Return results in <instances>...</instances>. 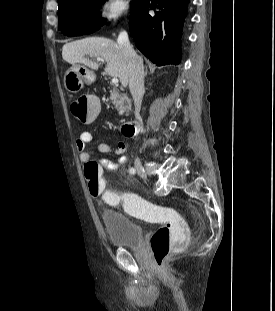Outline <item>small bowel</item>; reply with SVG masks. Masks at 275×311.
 Segmentation results:
<instances>
[{
	"instance_id": "1",
	"label": "small bowel",
	"mask_w": 275,
	"mask_h": 311,
	"mask_svg": "<svg viewBox=\"0 0 275 311\" xmlns=\"http://www.w3.org/2000/svg\"><path fill=\"white\" fill-rule=\"evenodd\" d=\"M95 135L90 131H82L78 134L75 146L79 152V158L82 163L85 165L92 161L91 154L88 149V145L95 141ZM126 144L123 141H119L115 147H111L105 142H99L97 145V150L102 154H114L117 156L115 160H110L108 158H100L95 161L99 167H102L106 170H116L121 165L125 164L128 161L126 152Z\"/></svg>"
}]
</instances>
